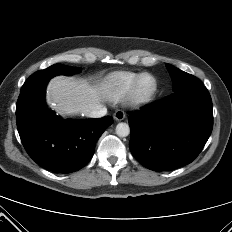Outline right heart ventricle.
<instances>
[{
	"mask_svg": "<svg viewBox=\"0 0 232 232\" xmlns=\"http://www.w3.org/2000/svg\"><path fill=\"white\" fill-rule=\"evenodd\" d=\"M141 74L132 72H115L107 76L104 82V93L113 102H118L127 97Z\"/></svg>",
	"mask_w": 232,
	"mask_h": 232,
	"instance_id": "obj_1",
	"label": "right heart ventricle"
}]
</instances>
